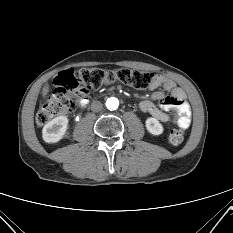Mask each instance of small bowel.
I'll list each match as a JSON object with an SVG mask.
<instances>
[{
	"label": "small bowel",
	"instance_id": "1",
	"mask_svg": "<svg viewBox=\"0 0 233 233\" xmlns=\"http://www.w3.org/2000/svg\"><path fill=\"white\" fill-rule=\"evenodd\" d=\"M159 88L162 90H158ZM149 91L152 92L151 99L140 103L141 111L149 113L161 122H171L182 129L190 126L192 113L184 90L169 78L155 75ZM86 105V99L80 102L82 108ZM169 111L174 113L170 114Z\"/></svg>",
	"mask_w": 233,
	"mask_h": 233
}]
</instances>
